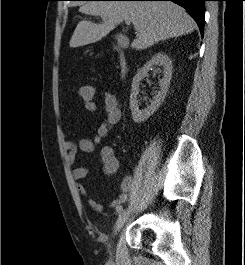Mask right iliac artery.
Wrapping results in <instances>:
<instances>
[{"mask_svg":"<svg viewBox=\"0 0 245 265\" xmlns=\"http://www.w3.org/2000/svg\"><path fill=\"white\" fill-rule=\"evenodd\" d=\"M122 210H123V206L122 205L116 207L117 213H121Z\"/></svg>","mask_w":245,"mask_h":265,"instance_id":"1","label":"right iliac artery"}]
</instances>
